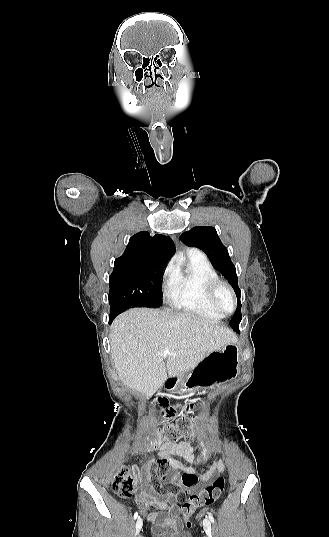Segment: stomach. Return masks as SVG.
Instances as JSON below:
<instances>
[{
  "mask_svg": "<svg viewBox=\"0 0 329 537\" xmlns=\"http://www.w3.org/2000/svg\"><path fill=\"white\" fill-rule=\"evenodd\" d=\"M239 360L238 342L229 343L208 354L191 372L171 378L167 390L173 391L181 387L191 392L202 385L210 386L231 379L238 372Z\"/></svg>",
  "mask_w": 329,
  "mask_h": 537,
  "instance_id": "stomach-1",
  "label": "stomach"
}]
</instances>
